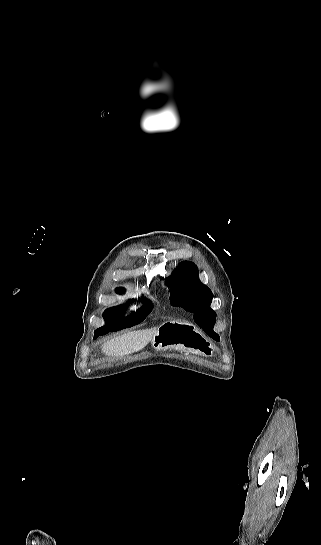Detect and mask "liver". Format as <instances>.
Listing matches in <instances>:
<instances>
[{"label": "liver", "mask_w": 321, "mask_h": 545, "mask_svg": "<svg viewBox=\"0 0 321 545\" xmlns=\"http://www.w3.org/2000/svg\"><path fill=\"white\" fill-rule=\"evenodd\" d=\"M157 329H142V331H132V333H125L121 337L111 339L102 345V353L109 355V357H124V355H131V353H138L142 351L150 341H152L154 335H156Z\"/></svg>", "instance_id": "1"}]
</instances>
